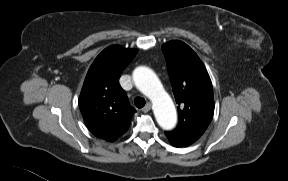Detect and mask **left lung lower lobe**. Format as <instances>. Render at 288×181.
<instances>
[{
  "mask_svg": "<svg viewBox=\"0 0 288 181\" xmlns=\"http://www.w3.org/2000/svg\"><path fill=\"white\" fill-rule=\"evenodd\" d=\"M165 135L175 147L189 146L202 136L199 133H178L175 131L165 132Z\"/></svg>",
  "mask_w": 288,
  "mask_h": 181,
  "instance_id": "0a47b994",
  "label": "left lung lower lobe"
}]
</instances>
